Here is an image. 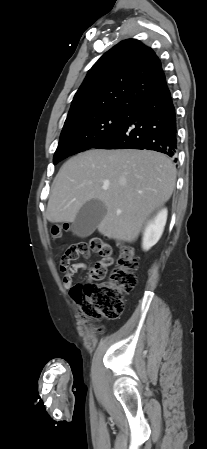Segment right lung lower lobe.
I'll return each mask as SVG.
<instances>
[{"label": "right lung lower lobe", "mask_w": 207, "mask_h": 449, "mask_svg": "<svg viewBox=\"0 0 207 449\" xmlns=\"http://www.w3.org/2000/svg\"><path fill=\"white\" fill-rule=\"evenodd\" d=\"M93 148L148 149L174 157L177 115L170 91L137 108L121 128Z\"/></svg>", "instance_id": "obj_1"}]
</instances>
